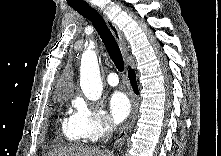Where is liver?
I'll return each mask as SVG.
<instances>
[{"instance_id": "obj_1", "label": "liver", "mask_w": 221, "mask_h": 156, "mask_svg": "<svg viewBox=\"0 0 221 156\" xmlns=\"http://www.w3.org/2000/svg\"><path fill=\"white\" fill-rule=\"evenodd\" d=\"M45 156H112V153L100 150L98 147L71 146L53 149Z\"/></svg>"}]
</instances>
